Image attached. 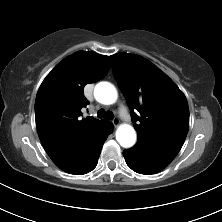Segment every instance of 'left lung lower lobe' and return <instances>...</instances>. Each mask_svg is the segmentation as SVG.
<instances>
[{"label": "left lung lower lobe", "mask_w": 222, "mask_h": 222, "mask_svg": "<svg viewBox=\"0 0 222 222\" xmlns=\"http://www.w3.org/2000/svg\"><path fill=\"white\" fill-rule=\"evenodd\" d=\"M123 155L127 165L137 173L140 174H154L161 171L163 166L155 164L137 154L130 152L129 150H124Z\"/></svg>", "instance_id": "obj_1"}]
</instances>
